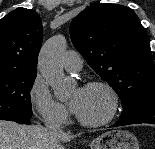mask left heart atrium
<instances>
[{
	"mask_svg": "<svg viewBox=\"0 0 155 149\" xmlns=\"http://www.w3.org/2000/svg\"><path fill=\"white\" fill-rule=\"evenodd\" d=\"M82 97H83V88L77 91L76 95L73 97L70 103V106L73 112L75 113L78 112L80 105H81Z\"/></svg>",
	"mask_w": 155,
	"mask_h": 149,
	"instance_id": "obj_1",
	"label": "left heart atrium"
}]
</instances>
